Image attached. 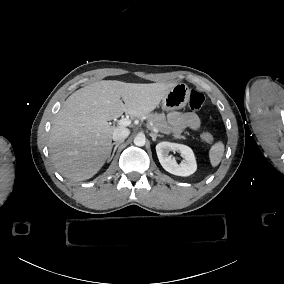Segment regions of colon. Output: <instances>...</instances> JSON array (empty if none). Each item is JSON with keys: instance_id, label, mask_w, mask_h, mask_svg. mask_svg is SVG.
I'll list each match as a JSON object with an SVG mask.
<instances>
[{"instance_id": "5ec220e1", "label": "colon", "mask_w": 284, "mask_h": 284, "mask_svg": "<svg viewBox=\"0 0 284 284\" xmlns=\"http://www.w3.org/2000/svg\"><path fill=\"white\" fill-rule=\"evenodd\" d=\"M204 101H205L204 96L200 91L195 90V89L190 90V93H189L190 108L200 109L203 106ZM201 138L204 142H207V143L213 140L212 135L208 132L203 133Z\"/></svg>"}]
</instances>
